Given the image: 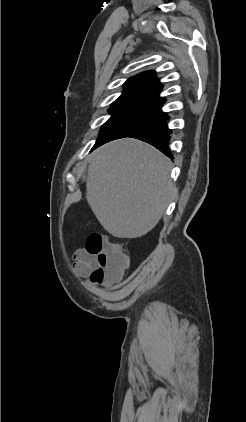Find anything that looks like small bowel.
Masks as SVG:
<instances>
[{"label": "small bowel", "mask_w": 246, "mask_h": 422, "mask_svg": "<svg viewBox=\"0 0 246 422\" xmlns=\"http://www.w3.org/2000/svg\"><path fill=\"white\" fill-rule=\"evenodd\" d=\"M74 258V271L85 278V283L94 287H103L110 289L113 284L119 279L120 276L114 279L98 280L93 278L92 273L97 267L96 257L87 252L85 248L75 250Z\"/></svg>", "instance_id": "c3829d8e"}]
</instances>
